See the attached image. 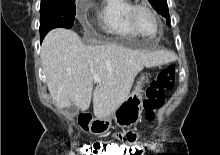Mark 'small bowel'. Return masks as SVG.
Wrapping results in <instances>:
<instances>
[{
	"mask_svg": "<svg viewBox=\"0 0 220 155\" xmlns=\"http://www.w3.org/2000/svg\"><path fill=\"white\" fill-rule=\"evenodd\" d=\"M120 130L118 133H116V140L118 141H136V138H138V126H120ZM133 129V130H132ZM96 145H101L102 141L101 140H96L95 141ZM106 146H124V145H118L114 143H110ZM140 150H143L142 147H140Z\"/></svg>",
	"mask_w": 220,
	"mask_h": 155,
	"instance_id": "1",
	"label": "small bowel"
}]
</instances>
